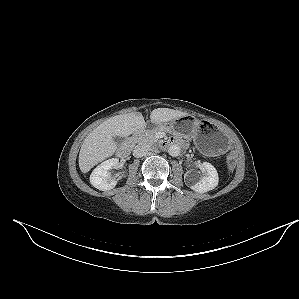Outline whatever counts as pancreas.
Masks as SVG:
<instances>
[{"label": "pancreas", "mask_w": 299, "mask_h": 299, "mask_svg": "<svg viewBox=\"0 0 299 299\" xmlns=\"http://www.w3.org/2000/svg\"><path fill=\"white\" fill-rule=\"evenodd\" d=\"M165 130L164 127H156L145 132H140L132 137V142L136 144H153L157 141L156 133Z\"/></svg>", "instance_id": "obj_1"}]
</instances>
